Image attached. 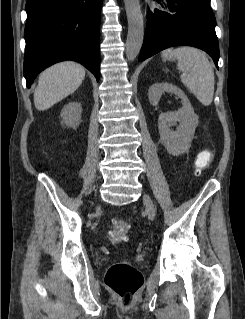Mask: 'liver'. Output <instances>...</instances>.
I'll return each instance as SVG.
<instances>
[{"mask_svg":"<svg viewBox=\"0 0 245 319\" xmlns=\"http://www.w3.org/2000/svg\"><path fill=\"white\" fill-rule=\"evenodd\" d=\"M85 77V68L75 62H61L46 69L39 75L34 91L37 110L49 109L57 102L74 93Z\"/></svg>","mask_w":245,"mask_h":319,"instance_id":"obj_1","label":"liver"}]
</instances>
